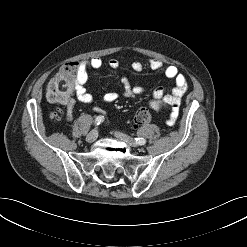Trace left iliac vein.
Here are the masks:
<instances>
[{
  "instance_id": "obj_1",
  "label": "left iliac vein",
  "mask_w": 247,
  "mask_h": 247,
  "mask_svg": "<svg viewBox=\"0 0 247 247\" xmlns=\"http://www.w3.org/2000/svg\"><path fill=\"white\" fill-rule=\"evenodd\" d=\"M114 135L119 138L120 140L126 142L127 144L136 147L138 144L136 143L135 140H133L132 138L128 137L127 135L121 133V132H114Z\"/></svg>"
}]
</instances>
